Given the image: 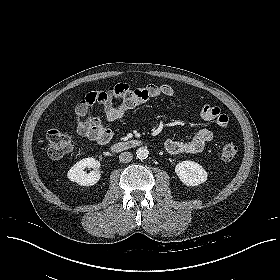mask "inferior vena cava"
Returning <instances> with one entry per match:
<instances>
[{"mask_svg": "<svg viewBox=\"0 0 280 280\" xmlns=\"http://www.w3.org/2000/svg\"><path fill=\"white\" fill-rule=\"evenodd\" d=\"M133 159V154L130 152H122L119 155V161L122 163H128Z\"/></svg>", "mask_w": 280, "mask_h": 280, "instance_id": "602c4592", "label": "inferior vena cava"}]
</instances>
